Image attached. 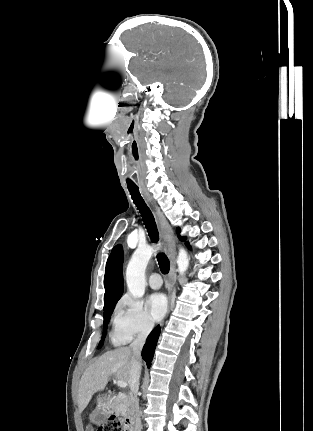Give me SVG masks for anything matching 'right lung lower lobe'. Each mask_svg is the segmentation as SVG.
Masks as SVG:
<instances>
[{
  "mask_svg": "<svg viewBox=\"0 0 313 431\" xmlns=\"http://www.w3.org/2000/svg\"><path fill=\"white\" fill-rule=\"evenodd\" d=\"M160 332H161V327L158 325L152 330L143 347L142 358L147 363L148 368L151 365V361L154 356V351L156 348V344H157V340L159 338Z\"/></svg>",
  "mask_w": 313,
  "mask_h": 431,
  "instance_id": "obj_1",
  "label": "right lung lower lobe"
}]
</instances>
